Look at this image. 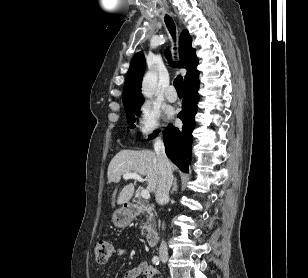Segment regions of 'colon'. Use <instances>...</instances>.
Listing matches in <instances>:
<instances>
[{
  "label": "colon",
  "mask_w": 308,
  "mask_h": 278,
  "mask_svg": "<svg viewBox=\"0 0 308 278\" xmlns=\"http://www.w3.org/2000/svg\"><path fill=\"white\" fill-rule=\"evenodd\" d=\"M114 247L110 241L100 240L94 247L96 261L99 264H105L113 255Z\"/></svg>",
  "instance_id": "colon-1"
}]
</instances>
